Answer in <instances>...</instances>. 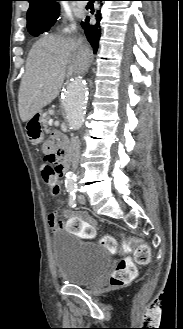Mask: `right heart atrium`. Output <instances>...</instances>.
<instances>
[{
  "label": "right heart atrium",
  "instance_id": "right-heart-atrium-1",
  "mask_svg": "<svg viewBox=\"0 0 183 329\" xmlns=\"http://www.w3.org/2000/svg\"><path fill=\"white\" fill-rule=\"evenodd\" d=\"M73 30H74V27H73L72 25H70V26H67V27H65V28L63 29V33H65V34H69V33H71Z\"/></svg>",
  "mask_w": 183,
  "mask_h": 329
}]
</instances>
